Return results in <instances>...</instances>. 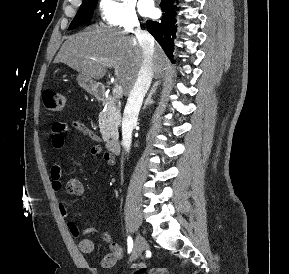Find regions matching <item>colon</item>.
I'll list each match as a JSON object with an SVG mask.
<instances>
[{"mask_svg":"<svg viewBox=\"0 0 289 274\" xmlns=\"http://www.w3.org/2000/svg\"><path fill=\"white\" fill-rule=\"evenodd\" d=\"M42 100L46 109L52 112H60L66 106L65 96L53 90H45L42 95Z\"/></svg>","mask_w":289,"mask_h":274,"instance_id":"colon-1","label":"colon"}]
</instances>
